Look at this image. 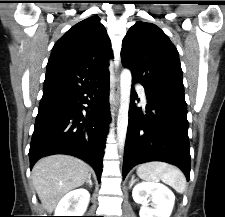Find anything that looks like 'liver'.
Here are the masks:
<instances>
[{
  "instance_id": "liver-1",
  "label": "liver",
  "mask_w": 225,
  "mask_h": 217,
  "mask_svg": "<svg viewBox=\"0 0 225 217\" xmlns=\"http://www.w3.org/2000/svg\"><path fill=\"white\" fill-rule=\"evenodd\" d=\"M90 169L86 162L69 155L41 158L31 177L42 207L51 214L65 194L86 182Z\"/></svg>"
}]
</instances>
